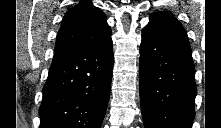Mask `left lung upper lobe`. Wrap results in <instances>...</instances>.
I'll use <instances>...</instances> for the list:
<instances>
[{
	"instance_id": "left-lung-upper-lobe-1",
	"label": "left lung upper lobe",
	"mask_w": 221,
	"mask_h": 128,
	"mask_svg": "<svg viewBox=\"0 0 221 128\" xmlns=\"http://www.w3.org/2000/svg\"><path fill=\"white\" fill-rule=\"evenodd\" d=\"M152 15H164V16H167L168 18H171V19L177 21L176 18L173 16V14L170 12H156Z\"/></svg>"
}]
</instances>
